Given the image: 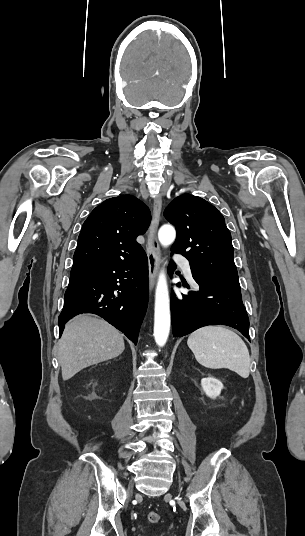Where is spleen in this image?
<instances>
[{"mask_svg": "<svg viewBox=\"0 0 305 536\" xmlns=\"http://www.w3.org/2000/svg\"><path fill=\"white\" fill-rule=\"evenodd\" d=\"M187 344L197 362L204 368L220 370L228 368L248 378L250 356L243 340L224 326H206L190 334Z\"/></svg>", "mask_w": 305, "mask_h": 536, "instance_id": "obj_1", "label": "spleen"}]
</instances>
